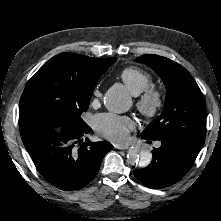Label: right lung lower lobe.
<instances>
[{
	"label": "right lung lower lobe",
	"instance_id": "1",
	"mask_svg": "<svg viewBox=\"0 0 221 221\" xmlns=\"http://www.w3.org/2000/svg\"><path fill=\"white\" fill-rule=\"evenodd\" d=\"M55 125L39 122L20 129L23 144L46 181L61 190H79L95 177L113 146L83 140L91 130L88 125L77 128L62 123L60 133L54 131Z\"/></svg>",
	"mask_w": 221,
	"mask_h": 221
}]
</instances>
